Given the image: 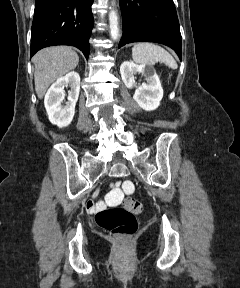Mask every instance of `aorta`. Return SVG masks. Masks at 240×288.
I'll return each instance as SVG.
<instances>
[{
    "label": "aorta",
    "instance_id": "obj_1",
    "mask_svg": "<svg viewBox=\"0 0 240 288\" xmlns=\"http://www.w3.org/2000/svg\"><path fill=\"white\" fill-rule=\"evenodd\" d=\"M112 5H115V2H112ZM109 28H110V36L113 40H117L120 37L119 33V21L117 11L111 9L109 12Z\"/></svg>",
    "mask_w": 240,
    "mask_h": 288
}]
</instances>
